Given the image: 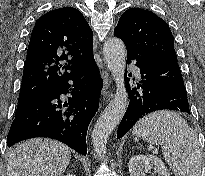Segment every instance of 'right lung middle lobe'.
Masks as SVG:
<instances>
[{
	"instance_id": "right-lung-middle-lobe-1",
	"label": "right lung middle lobe",
	"mask_w": 205,
	"mask_h": 176,
	"mask_svg": "<svg viewBox=\"0 0 205 176\" xmlns=\"http://www.w3.org/2000/svg\"><path fill=\"white\" fill-rule=\"evenodd\" d=\"M36 97V96H35ZM35 97H32V98H24V99H19L18 102V106H17V110H16V114L29 102L31 101L33 98Z\"/></svg>"
}]
</instances>
